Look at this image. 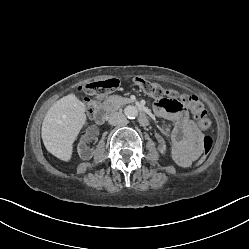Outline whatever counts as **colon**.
I'll list each match as a JSON object with an SVG mask.
<instances>
[{"label":"colon","instance_id":"1","mask_svg":"<svg viewBox=\"0 0 249 249\" xmlns=\"http://www.w3.org/2000/svg\"><path fill=\"white\" fill-rule=\"evenodd\" d=\"M133 84L147 95L162 100L166 104L168 110H171L169 108V101L173 96L167 88L141 77H136L133 80ZM117 86L118 81L116 79H107L103 81H94L87 85L79 87L80 91L85 92L89 96L86 101L87 114L90 116L94 115L101 97ZM181 100L186 103L193 111L198 126L203 131H209L212 128V120L207 110L200 103L198 98L195 96H183ZM212 146V137L209 135L205 136L202 141V151L200 157H206L210 152Z\"/></svg>","mask_w":249,"mask_h":249}]
</instances>
